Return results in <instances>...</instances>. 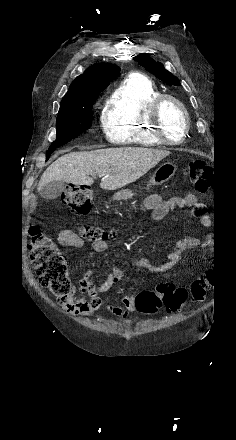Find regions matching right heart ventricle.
Wrapping results in <instances>:
<instances>
[{
    "mask_svg": "<svg viewBox=\"0 0 236 440\" xmlns=\"http://www.w3.org/2000/svg\"><path fill=\"white\" fill-rule=\"evenodd\" d=\"M161 94L149 77L140 73L126 76L105 105L103 128L106 138L117 145H162L153 134L148 118L151 103Z\"/></svg>",
    "mask_w": 236,
    "mask_h": 440,
    "instance_id": "1",
    "label": "right heart ventricle"
}]
</instances>
